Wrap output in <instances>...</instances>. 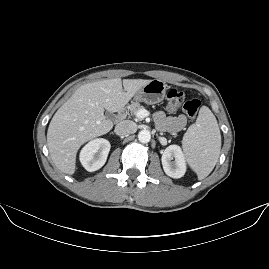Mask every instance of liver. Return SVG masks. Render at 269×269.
<instances>
[{
  "label": "liver",
  "instance_id": "1",
  "mask_svg": "<svg viewBox=\"0 0 269 269\" xmlns=\"http://www.w3.org/2000/svg\"><path fill=\"white\" fill-rule=\"evenodd\" d=\"M149 80H101L79 87L55 113L48 134L51 158L59 170L73 174L76 151L85 141L109 132L113 123L104 109L116 112ZM124 86V89H123Z\"/></svg>",
  "mask_w": 269,
  "mask_h": 269
}]
</instances>
